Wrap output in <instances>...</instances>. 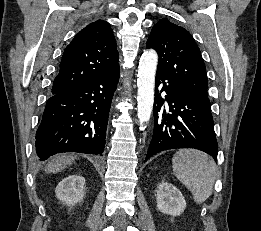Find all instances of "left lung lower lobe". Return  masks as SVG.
I'll use <instances>...</instances> for the list:
<instances>
[{"mask_svg": "<svg viewBox=\"0 0 261 231\" xmlns=\"http://www.w3.org/2000/svg\"><path fill=\"white\" fill-rule=\"evenodd\" d=\"M160 84H163L161 92L167 94L165 100L158 90ZM165 101L169 110L164 109ZM154 120L153 136L145 161L158 152L176 148H195L217 159L218 144L210 104L190 98L159 71L155 79Z\"/></svg>", "mask_w": 261, "mask_h": 231, "instance_id": "left-lung-lower-lobe-1", "label": "left lung lower lobe"}]
</instances>
